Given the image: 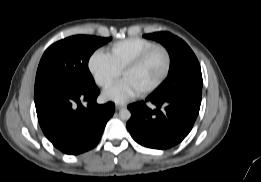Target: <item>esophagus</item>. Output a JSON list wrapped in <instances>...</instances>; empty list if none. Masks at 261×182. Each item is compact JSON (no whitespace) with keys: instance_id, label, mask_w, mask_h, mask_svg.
Returning <instances> with one entry per match:
<instances>
[{"instance_id":"1","label":"esophagus","mask_w":261,"mask_h":182,"mask_svg":"<svg viewBox=\"0 0 261 182\" xmlns=\"http://www.w3.org/2000/svg\"><path fill=\"white\" fill-rule=\"evenodd\" d=\"M125 107H126L125 104H116V106H115L116 110H121V109H123Z\"/></svg>"}]
</instances>
